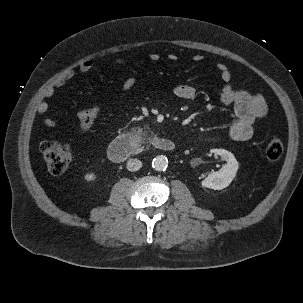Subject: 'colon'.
Masks as SVG:
<instances>
[{
    "label": "colon",
    "mask_w": 303,
    "mask_h": 303,
    "mask_svg": "<svg viewBox=\"0 0 303 303\" xmlns=\"http://www.w3.org/2000/svg\"><path fill=\"white\" fill-rule=\"evenodd\" d=\"M99 111V104H94L81 111L78 121L82 132H86L93 125ZM283 149L281 139L278 137L272 138L266 146V158L269 161H277L282 156ZM39 150L45 159L48 170L54 175L65 172L74 157L70 146L57 140L42 141Z\"/></svg>",
    "instance_id": "5ec220e1"
}]
</instances>
